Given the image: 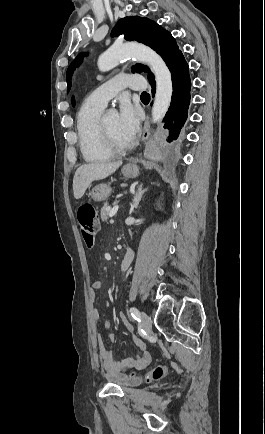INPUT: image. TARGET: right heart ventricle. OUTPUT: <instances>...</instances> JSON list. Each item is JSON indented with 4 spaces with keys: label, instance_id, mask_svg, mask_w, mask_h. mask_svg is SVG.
Segmentation results:
<instances>
[{
    "label": "right heart ventricle",
    "instance_id": "e07e8e85",
    "mask_svg": "<svg viewBox=\"0 0 265 434\" xmlns=\"http://www.w3.org/2000/svg\"><path fill=\"white\" fill-rule=\"evenodd\" d=\"M104 105L85 99L76 113V129L80 152L86 163L97 165L109 161L113 154L106 145L101 114Z\"/></svg>",
    "mask_w": 265,
    "mask_h": 434
}]
</instances>
